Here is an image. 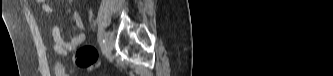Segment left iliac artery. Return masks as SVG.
<instances>
[{"mask_svg":"<svg viewBox=\"0 0 333 76\" xmlns=\"http://www.w3.org/2000/svg\"><path fill=\"white\" fill-rule=\"evenodd\" d=\"M104 37H103V31L102 30H99L98 32V42L100 45H103L104 44Z\"/></svg>","mask_w":333,"mask_h":76,"instance_id":"obj_1","label":"left iliac artery"}]
</instances>
